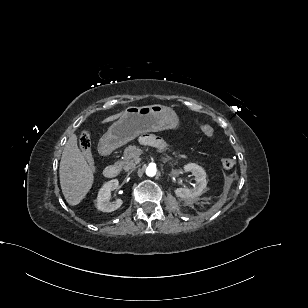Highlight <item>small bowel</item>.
I'll list each match as a JSON object with an SVG mask.
<instances>
[{
    "instance_id": "c3829d8e",
    "label": "small bowel",
    "mask_w": 308,
    "mask_h": 308,
    "mask_svg": "<svg viewBox=\"0 0 308 308\" xmlns=\"http://www.w3.org/2000/svg\"><path fill=\"white\" fill-rule=\"evenodd\" d=\"M140 142L146 145L162 146L163 141L153 134H144L140 137Z\"/></svg>"
}]
</instances>
